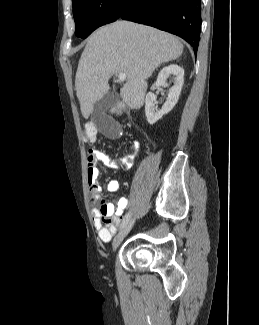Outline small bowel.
Instances as JSON below:
<instances>
[{
  "label": "small bowel",
  "mask_w": 259,
  "mask_h": 325,
  "mask_svg": "<svg viewBox=\"0 0 259 325\" xmlns=\"http://www.w3.org/2000/svg\"><path fill=\"white\" fill-rule=\"evenodd\" d=\"M138 153V143L133 141L128 153L120 160L113 161L104 152L96 149H90L87 157V178L90 191L91 202L95 204L93 209V223L97 230L99 239L108 243L115 234L117 227L121 223L122 214L127 207L128 200L121 197L116 205L106 202L101 199V186L98 182L99 164L106 168H129L133 163ZM120 182L116 179H111L107 183L109 192H117L120 189ZM105 223V225H104Z\"/></svg>",
  "instance_id": "obj_1"
}]
</instances>
